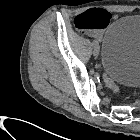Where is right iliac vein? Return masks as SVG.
Returning <instances> with one entry per match:
<instances>
[{"instance_id": "1", "label": "right iliac vein", "mask_w": 140, "mask_h": 140, "mask_svg": "<svg viewBox=\"0 0 140 140\" xmlns=\"http://www.w3.org/2000/svg\"><path fill=\"white\" fill-rule=\"evenodd\" d=\"M94 51L96 52L97 51V48L95 47Z\"/></svg>"}]
</instances>
